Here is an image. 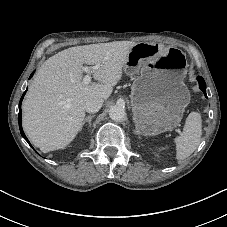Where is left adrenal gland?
<instances>
[{
	"mask_svg": "<svg viewBox=\"0 0 227 227\" xmlns=\"http://www.w3.org/2000/svg\"><path fill=\"white\" fill-rule=\"evenodd\" d=\"M135 132H136V134H138V135H139V137H140V134H139V131H138V129H136V131H135Z\"/></svg>",
	"mask_w": 227,
	"mask_h": 227,
	"instance_id": "1",
	"label": "left adrenal gland"
}]
</instances>
